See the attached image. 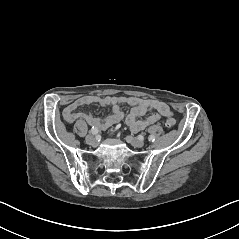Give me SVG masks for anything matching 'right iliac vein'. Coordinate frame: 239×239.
Instances as JSON below:
<instances>
[{
    "mask_svg": "<svg viewBox=\"0 0 239 239\" xmlns=\"http://www.w3.org/2000/svg\"><path fill=\"white\" fill-rule=\"evenodd\" d=\"M85 140H86L87 144L92 145V146L96 145V143H97L95 137L91 134L87 135Z\"/></svg>",
    "mask_w": 239,
    "mask_h": 239,
    "instance_id": "obj_1",
    "label": "right iliac vein"
}]
</instances>
